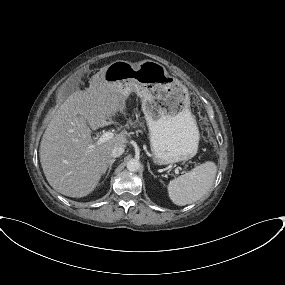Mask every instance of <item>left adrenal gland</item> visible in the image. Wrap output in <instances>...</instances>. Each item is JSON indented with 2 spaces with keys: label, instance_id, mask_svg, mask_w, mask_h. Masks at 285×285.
<instances>
[{
  "label": "left adrenal gland",
  "instance_id": "a2214340",
  "mask_svg": "<svg viewBox=\"0 0 285 285\" xmlns=\"http://www.w3.org/2000/svg\"><path fill=\"white\" fill-rule=\"evenodd\" d=\"M147 166H148V171H149L154 177H156V176L153 174V172L151 171V169H150L149 162L147 163Z\"/></svg>",
  "mask_w": 285,
  "mask_h": 285
}]
</instances>
